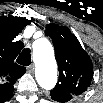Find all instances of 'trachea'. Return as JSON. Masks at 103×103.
I'll return each mask as SVG.
<instances>
[{
	"label": "trachea",
	"instance_id": "trachea-1",
	"mask_svg": "<svg viewBox=\"0 0 103 103\" xmlns=\"http://www.w3.org/2000/svg\"><path fill=\"white\" fill-rule=\"evenodd\" d=\"M17 62L23 66H28L31 64V54L30 49H24L19 55Z\"/></svg>",
	"mask_w": 103,
	"mask_h": 103
}]
</instances>
